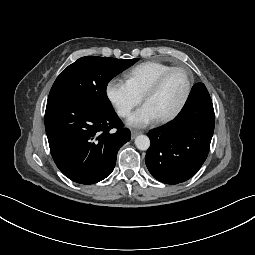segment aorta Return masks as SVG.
<instances>
[{
    "label": "aorta",
    "mask_w": 255,
    "mask_h": 255,
    "mask_svg": "<svg viewBox=\"0 0 255 255\" xmlns=\"http://www.w3.org/2000/svg\"><path fill=\"white\" fill-rule=\"evenodd\" d=\"M135 145L139 150L145 151L150 147V139L146 135H139L135 139Z\"/></svg>",
    "instance_id": "obj_1"
}]
</instances>
